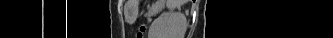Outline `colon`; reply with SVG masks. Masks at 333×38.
I'll return each instance as SVG.
<instances>
[{
    "instance_id": "5ec220e1",
    "label": "colon",
    "mask_w": 333,
    "mask_h": 38,
    "mask_svg": "<svg viewBox=\"0 0 333 38\" xmlns=\"http://www.w3.org/2000/svg\"><path fill=\"white\" fill-rule=\"evenodd\" d=\"M145 29H146L145 25L140 26L138 34H137V38H143V34L145 32Z\"/></svg>"
}]
</instances>
